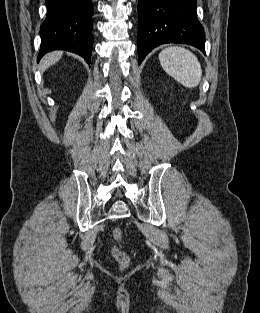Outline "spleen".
<instances>
[{
	"mask_svg": "<svg viewBox=\"0 0 260 313\" xmlns=\"http://www.w3.org/2000/svg\"><path fill=\"white\" fill-rule=\"evenodd\" d=\"M159 61L164 71L184 87H197L202 69L197 57L188 49L171 46L162 50Z\"/></svg>",
	"mask_w": 260,
	"mask_h": 313,
	"instance_id": "obj_1",
	"label": "spleen"
}]
</instances>
